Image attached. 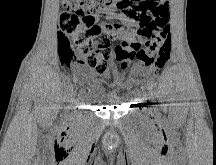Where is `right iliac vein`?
Listing matches in <instances>:
<instances>
[{"label": "right iliac vein", "mask_w": 216, "mask_h": 165, "mask_svg": "<svg viewBox=\"0 0 216 165\" xmlns=\"http://www.w3.org/2000/svg\"><path fill=\"white\" fill-rule=\"evenodd\" d=\"M73 102H72V104H68V106L66 107L68 110L70 109V108H73Z\"/></svg>", "instance_id": "1"}]
</instances>
